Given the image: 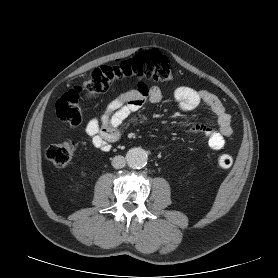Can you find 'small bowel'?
I'll return each mask as SVG.
<instances>
[{
    "mask_svg": "<svg viewBox=\"0 0 278 278\" xmlns=\"http://www.w3.org/2000/svg\"><path fill=\"white\" fill-rule=\"evenodd\" d=\"M173 96L183 111H192L201 104H205L211 110L216 116L217 128L195 125L192 130L203 132L211 149H222L226 140L233 134V129L231 116L219 98L209 91L196 90L184 85L178 86ZM162 97V90L159 86H147L143 82H140L135 89L117 95L107 104L100 117H94L86 124L85 133L93 147L102 152L110 151L112 143L122 137L127 127L145 120V117H139L127 121L129 116L140 110L146 103H159Z\"/></svg>",
    "mask_w": 278,
    "mask_h": 278,
    "instance_id": "small-bowel-1",
    "label": "small bowel"
}]
</instances>
